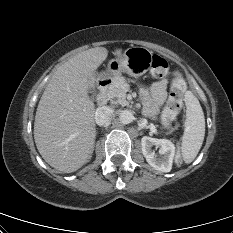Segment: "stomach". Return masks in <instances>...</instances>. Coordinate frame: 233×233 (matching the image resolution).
<instances>
[{"mask_svg": "<svg viewBox=\"0 0 233 233\" xmlns=\"http://www.w3.org/2000/svg\"><path fill=\"white\" fill-rule=\"evenodd\" d=\"M152 52L144 47L133 46L125 50L123 55L112 59L108 64L107 75L115 80L122 73L138 78L144 75L151 66Z\"/></svg>", "mask_w": 233, "mask_h": 233, "instance_id": "1", "label": "stomach"}]
</instances>
